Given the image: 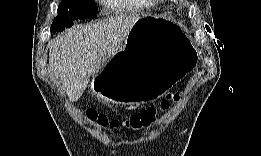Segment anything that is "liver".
Instances as JSON below:
<instances>
[{"label": "liver", "instance_id": "1", "mask_svg": "<svg viewBox=\"0 0 261 156\" xmlns=\"http://www.w3.org/2000/svg\"><path fill=\"white\" fill-rule=\"evenodd\" d=\"M139 16H115L75 26L49 43V68L69 100L77 101L95 77L121 49Z\"/></svg>", "mask_w": 261, "mask_h": 156}]
</instances>
